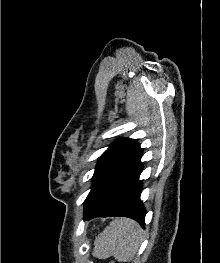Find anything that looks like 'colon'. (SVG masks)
<instances>
[{"instance_id": "1", "label": "colon", "mask_w": 220, "mask_h": 263, "mask_svg": "<svg viewBox=\"0 0 220 263\" xmlns=\"http://www.w3.org/2000/svg\"><path fill=\"white\" fill-rule=\"evenodd\" d=\"M109 263H119V262H117V261H111V262H109Z\"/></svg>"}]
</instances>
